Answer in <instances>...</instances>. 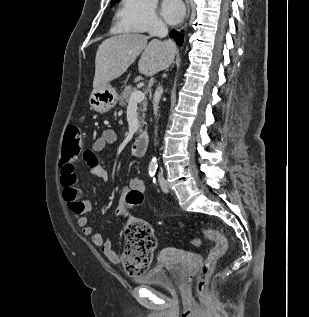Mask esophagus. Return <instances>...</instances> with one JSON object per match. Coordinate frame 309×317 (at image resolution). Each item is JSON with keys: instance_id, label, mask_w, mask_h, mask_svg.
I'll return each mask as SVG.
<instances>
[{"instance_id": "1", "label": "esophagus", "mask_w": 309, "mask_h": 317, "mask_svg": "<svg viewBox=\"0 0 309 317\" xmlns=\"http://www.w3.org/2000/svg\"><path fill=\"white\" fill-rule=\"evenodd\" d=\"M189 16V11H188V14H187V17Z\"/></svg>"}]
</instances>
